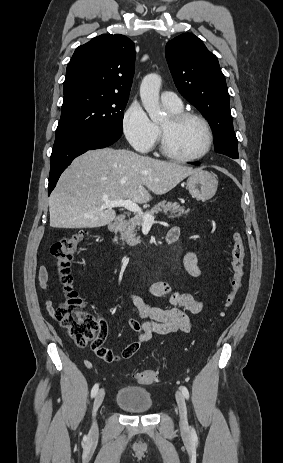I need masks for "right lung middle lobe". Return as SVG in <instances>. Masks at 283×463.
<instances>
[{
  "mask_svg": "<svg viewBox=\"0 0 283 463\" xmlns=\"http://www.w3.org/2000/svg\"><path fill=\"white\" fill-rule=\"evenodd\" d=\"M128 97L80 92L64 100L56 137L67 133L99 129L121 135L123 110Z\"/></svg>",
  "mask_w": 283,
  "mask_h": 463,
  "instance_id": "dd1d6c3e",
  "label": "right lung middle lobe"
}]
</instances>
